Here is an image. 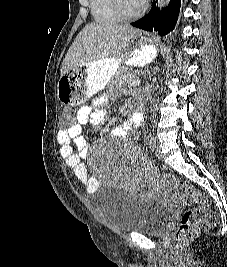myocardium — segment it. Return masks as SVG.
Returning <instances> with one entry per match:
<instances>
[{
  "instance_id": "obj_1",
  "label": "myocardium",
  "mask_w": 227,
  "mask_h": 267,
  "mask_svg": "<svg viewBox=\"0 0 227 267\" xmlns=\"http://www.w3.org/2000/svg\"><path fill=\"white\" fill-rule=\"evenodd\" d=\"M113 7L116 13L123 20H134L139 18L144 13V7H140L138 10L134 12L128 11L123 3V0H113Z\"/></svg>"
}]
</instances>
